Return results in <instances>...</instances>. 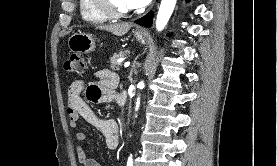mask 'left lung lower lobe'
I'll return each instance as SVG.
<instances>
[{"label": "left lung lower lobe", "mask_w": 277, "mask_h": 166, "mask_svg": "<svg viewBox=\"0 0 277 166\" xmlns=\"http://www.w3.org/2000/svg\"><path fill=\"white\" fill-rule=\"evenodd\" d=\"M152 20H153V12H150L146 14L144 17L136 20L135 22L140 25L150 27L152 25Z\"/></svg>", "instance_id": "left-lung-lower-lobe-1"}]
</instances>
